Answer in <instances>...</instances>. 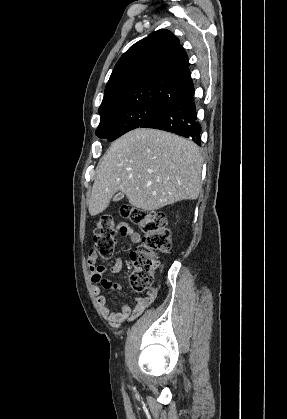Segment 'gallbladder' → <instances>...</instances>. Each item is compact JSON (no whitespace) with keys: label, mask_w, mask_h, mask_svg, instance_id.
<instances>
[{"label":"gallbladder","mask_w":287,"mask_h":419,"mask_svg":"<svg viewBox=\"0 0 287 419\" xmlns=\"http://www.w3.org/2000/svg\"><path fill=\"white\" fill-rule=\"evenodd\" d=\"M124 198V194L122 192H119L118 194H116L113 198L114 202L120 201Z\"/></svg>","instance_id":"obj_1"}]
</instances>
